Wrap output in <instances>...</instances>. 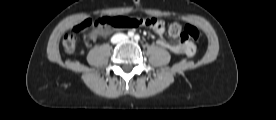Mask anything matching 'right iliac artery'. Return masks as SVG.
<instances>
[{
  "mask_svg": "<svg viewBox=\"0 0 276 120\" xmlns=\"http://www.w3.org/2000/svg\"><path fill=\"white\" fill-rule=\"evenodd\" d=\"M128 36H129V37H133V36H134V33H133L132 31H129V32H128Z\"/></svg>",
  "mask_w": 276,
  "mask_h": 120,
  "instance_id": "right-iliac-artery-1",
  "label": "right iliac artery"
}]
</instances>
